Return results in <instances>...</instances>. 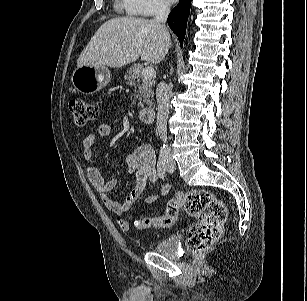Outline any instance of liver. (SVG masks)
Returning a JSON list of instances; mask_svg holds the SVG:
<instances>
[{
	"mask_svg": "<svg viewBox=\"0 0 307 301\" xmlns=\"http://www.w3.org/2000/svg\"><path fill=\"white\" fill-rule=\"evenodd\" d=\"M171 45L163 27L155 19L117 17L96 31L80 54L77 67L83 65L122 67L137 60L160 63Z\"/></svg>",
	"mask_w": 307,
	"mask_h": 301,
	"instance_id": "6515ba94",
	"label": "liver"
}]
</instances>
